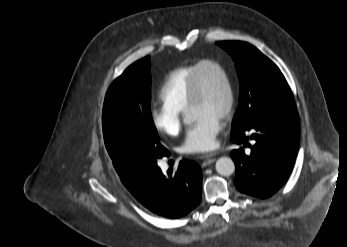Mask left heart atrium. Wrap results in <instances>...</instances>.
<instances>
[{
  "label": "left heart atrium",
  "mask_w": 347,
  "mask_h": 247,
  "mask_svg": "<svg viewBox=\"0 0 347 247\" xmlns=\"http://www.w3.org/2000/svg\"><path fill=\"white\" fill-rule=\"evenodd\" d=\"M222 129L219 117L203 115L187 129L181 151L186 154L204 153L214 148L216 137Z\"/></svg>",
  "instance_id": "left-heart-atrium-1"
}]
</instances>
